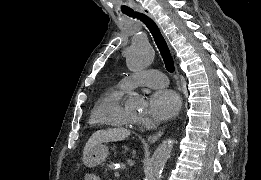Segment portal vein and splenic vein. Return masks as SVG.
Returning a JSON list of instances; mask_svg holds the SVG:
<instances>
[{"instance_id":"obj_1","label":"portal vein and splenic vein","mask_w":261,"mask_h":180,"mask_svg":"<svg viewBox=\"0 0 261 180\" xmlns=\"http://www.w3.org/2000/svg\"><path fill=\"white\" fill-rule=\"evenodd\" d=\"M115 179H120V172H115Z\"/></svg>"}]
</instances>
